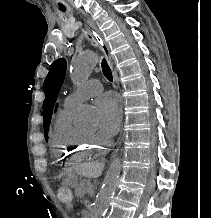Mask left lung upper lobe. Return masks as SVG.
Returning a JSON list of instances; mask_svg holds the SVG:
<instances>
[{
    "label": "left lung upper lobe",
    "instance_id": "obj_1",
    "mask_svg": "<svg viewBox=\"0 0 211 218\" xmlns=\"http://www.w3.org/2000/svg\"><path fill=\"white\" fill-rule=\"evenodd\" d=\"M65 71L66 61L64 58H60L51 65L49 73L44 81L43 89L46 94V98L43 102V125L45 133H48L49 131L53 106L59 89L63 83ZM46 139H48V136H46Z\"/></svg>",
    "mask_w": 211,
    "mask_h": 218
}]
</instances>
